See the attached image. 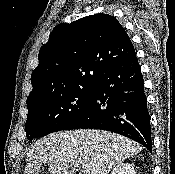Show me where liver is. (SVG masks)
<instances>
[{
    "mask_svg": "<svg viewBox=\"0 0 175 174\" xmlns=\"http://www.w3.org/2000/svg\"><path fill=\"white\" fill-rule=\"evenodd\" d=\"M142 146L124 136L103 130L61 131L37 141L27 153L25 174H38L48 164L50 174H74L75 167L87 164L84 174H109Z\"/></svg>",
    "mask_w": 175,
    "mask_h": 174,
    "instance_id": "liver-1",
    "label": "liver"
}]
</instances>
